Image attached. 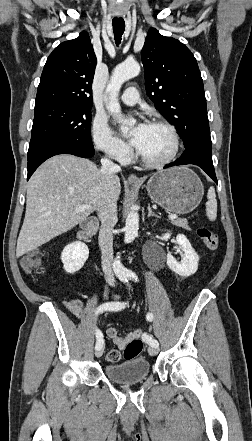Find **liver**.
I'll return each mask as SVG.
<instances>
[{
    "mask_svg": "<svg viewBox=\"0 0 252 441\" xmlns=\"http://www.w3.org/2000/svg\"><path fill=\"white\" fill-rule=\"evenodd\" d=\"M106 182L101 169L88 159L61 154L45 161L28 183L16 256L38 248L85 221L92 209H99L102 204ZM120 191V181L115 176L106 193L117 202ZM82 205L92 208L77 211Z\"/></svg>",
    "mask_w": 252,
    "mask_h": 441,
    "instance_id": "6515ba94",
    "label": "liver"
}]
</instances>
